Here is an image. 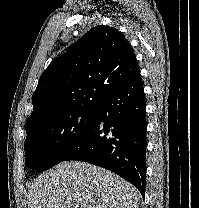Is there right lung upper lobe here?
<instances>
[{
	"mask_svg": "<svg viewBox=\"0 0 199 208\" xmlns=\"http://www.w3.org/2000/svg\"><path fill=\"white\" fill-rule=\"evenodd\" d=\"M140 70L124 35L96 26L50 63L32 96L26 133L70 111L94 107L109 93L139 78Z\"/></svg>",
	"mask_w": 199,
	"mask_h": 208,
	"instance_id": "right-lung-upper-lobe-1",
	"label": "right lung upper lobe"
}]
</instances>
